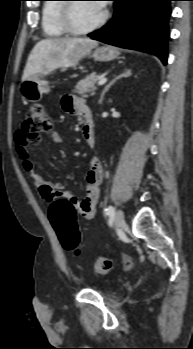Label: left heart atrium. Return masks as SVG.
Masks as SVG:
<instances>
[{
  "label": "left heart atrium",
  "mask_w": 193,
  "mask_h": 349,
  "mask_svg": "<svg viewBox=\"0 0 193 349\" xmlns=\"http://www.w3.org/2000/svg\"><path fill=\"white\" fill-rule=\"evenodd\" d=\"M97 5H98L101 9H103L104 6H105L104 2H99Z\"/></svg>",
  "instance_id": "obj_1"
}]
</instances>
